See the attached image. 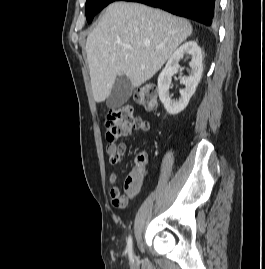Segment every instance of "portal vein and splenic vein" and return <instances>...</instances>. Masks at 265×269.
<instances>
[{
	"label": "portal vein and splenic vein",
	"mask_w": 265,
	"mask_h": 269,
	"mask_svg": "<svg viewBox=\"0 0 265 269\" xmlns=\"http://www.w3.org/2000/svg\"><path fill=\"white\" fill-rule=\"evenodd\" d=\"M126 48H127L128 50H132V49H133L132 46H130V45L126 46Z\"/></svg>",
	"instance_id": "18ae733b"
}]
</instances>
